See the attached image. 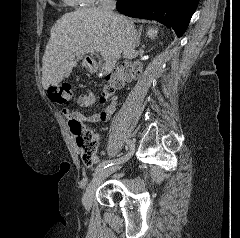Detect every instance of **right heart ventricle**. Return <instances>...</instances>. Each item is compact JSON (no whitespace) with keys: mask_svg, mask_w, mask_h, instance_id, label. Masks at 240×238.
<instances>
[{"mask_svg":"<svg viewBox=\"0 0 240 238\" xmlns=\"http://www.w3.org/2000/svg\"><path fill=\"white\" fill-rule=\"evenodd\" d=\"M63 1L71 5H85L82 0H63Z\"/></svg>","mask_w":240,"mask_h":238,"instance_id":"e07e8e85","label":"right heart ventricle"}]
</instances>
